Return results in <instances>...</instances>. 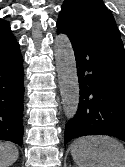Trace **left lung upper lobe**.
I'll list each match as a JSON object with an SVG mask.
<instances>
[{"label":"left lung upper lobe","mask_w":125,"mask_h":167,"mask_svg":"<svg viewBox=\"0 0 125 167\" xmlns=\"http://www.w3.org/2000/svg\"><path fill=\"white\" fill-rule=\"evenodd\" d=\"M57 22L70 31L112 29L120 34L103 0H65Z\"/></svg>","instance_id":"5c2ea615"}]
</instances>
